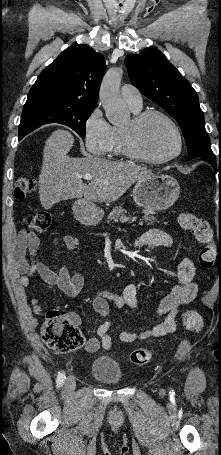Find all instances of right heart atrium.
<instances>
[{"label":"right heart atrium","mask_w":221,"mask_h":455,"mask_svg":"<svg viewBox=\"0 0 221 455\" xmlns=\"http://www.w3.org/2000/svg\"><path fill=\"white\" fill-rule=\"evenodd\" d=\"M112 141V126L105 120L101 111L95 109L84 123V143L86 149L94 155L109 152Z\"/></svg>","instance_id":"1"}]
</instances>
